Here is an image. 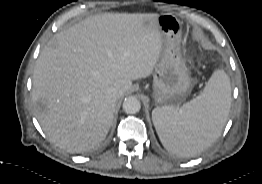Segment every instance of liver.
I'll use <instances>...</instances> for the list:
<instances>
[{
	"label": "liver",
	"instance_id": "obj_1",
	"mask_svg": "<svg viewBox=\"0 0 262 184\" xmlns=\"http://www.w3.org/2000/svg\"><path fill=\"white\" fill-rule=\"evenodd\" d=\"M158 16L103 13L49 40L35 64L32 99L51 142L80 153L106 138L116 111L108 89L121 98L132 80L152 74L161 56Z\"/></svg>",
	"mask_w": 262,
	"mask_h": 184
}]
</instances>
